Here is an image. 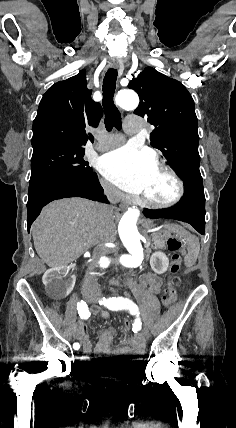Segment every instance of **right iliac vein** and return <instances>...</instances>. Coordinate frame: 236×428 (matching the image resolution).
I'll return each instance as SVG.
<instances>
[{
    "instance_id": "1",
    "label": "right iliac vein",
    "mask_w": 236,
    "mask_h": 428,
    "mask_svg": "<svg viewBox=\"0 0 236 428\" xmlns=\"http://www.w3.org/2000/svg\"><path fill=\"white\" fill-rule=\"evenodd\" d=\"M93 299H95V296L93 295V294H88L87 296H86V301L88 302V301H91L92 302V300ZM80 345L82 346L83 345V340L81 339L80 340Z\"/></svg>"
}]
</instances>
